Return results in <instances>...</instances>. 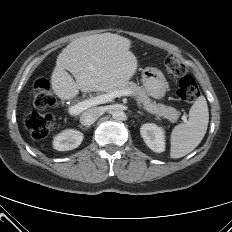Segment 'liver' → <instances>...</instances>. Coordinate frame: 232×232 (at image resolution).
Here are the masks:
<instances>
[{
    "instance_id": "obj_1",
    "label": "liver",
    "mask_w": 232,
    "mask_h": 232,
    "mask_svg": "<svg viewBox=\"0 0 232 232\" xmlns=\"http://www.w3.org/2000/svg\"><path fill=\"white\" fill-rule=\"evenodd\" d=\"M130 47L128 38L113 33L90 35L72 41L57 57L51 75L53 92L60 99L69 100L76 97L79 91L108 92L124 84L138 66Z\"/></svg>"
}]
</instances>
